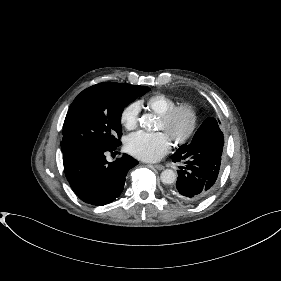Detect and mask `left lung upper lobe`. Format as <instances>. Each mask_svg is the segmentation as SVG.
<instances>
[{
    "label": "left lung upper lobe",
    "mask_w": 281,
    "mask_h": 281,
    "mask_svg": "<svg viewBox=\"0 0 281 281\" xmlns=\"http://www.w3.org/2000/svg\"><path fill=\"white\" fill-rule=\"evenodd\" d=\"M185 144H183L182 146L179 147V149L176 152H181L183 150Z\"/></svg>",
    "instance_id": "1"
}]
</instances>
